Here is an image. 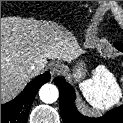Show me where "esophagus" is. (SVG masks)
I'll return each mask as SVG.
<instances>
[{"label": "esophagus", "instance_id": "34e87169", "mask_svg": "<svg viewBox=\"0 0 123 123\" xmlns=\"http://www.w3.org/2000/svg\"><path fill=\"white\" fill-rule=\"evenodd\" d=\"M61 72H62V65L59 63L53 64V66L51 67L52 77L59 75Z\"/></svg>", "mask_w": 123, "mask_h": 123}]
</instances>
